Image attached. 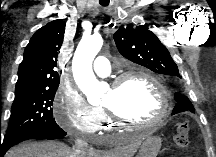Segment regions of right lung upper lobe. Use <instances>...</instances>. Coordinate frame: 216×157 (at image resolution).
Masks as SVG:
<instances>
[{"mask_svg":"<svg viewBox=\"0 0 216 157\" xmlns=\"http://www.w3.org/2000/svg\"><path fill=\"white\" fill-rule=\"evenodd\" d=\"M64 31L65 22L58 19L35 32L25 48L18 69L15 96L27 91L58 87L60 79L56 71L57 56Z\"/></svg>","mask_w":216,"mask_h":157,"instance_id":"right-lung-upper-lobe-1","label":"right lung upper lobe"}]
</instances>
